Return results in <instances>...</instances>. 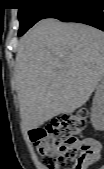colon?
<instances>
[{
	"instance_id": "obj_1",
	"label": "colon",
	"mask_w": 104,
	"mask_h": 169,
	"mask_svg": "<svg viewBox=\"0 0 104 169\" xmlns=\"http://www.w3.org/2000/svg\"><path fill=\"white\" fill-rule=\"evenodd\" d=\"M88 111L74 110L42 129L30 131V139L38 148L46 169H85L98 159L96 145L78 135L86 125Z\"/></svg>"
}]
</instances>
